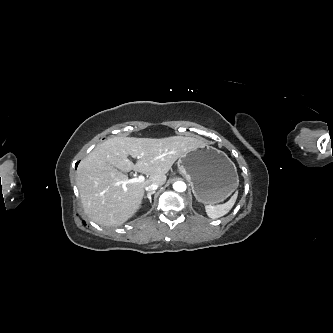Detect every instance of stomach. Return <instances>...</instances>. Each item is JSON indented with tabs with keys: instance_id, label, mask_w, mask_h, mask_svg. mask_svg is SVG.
<instances>
[{
	"instance_id": "0dacf381",
	"label": "stomach",
	"mask_w": 333,
	"mask_h": 333,
	"mask_svg": "<svg viewBox=\"0 0 333 333\" xmlns=\"http://www.w3.org/2000/svg\"><path fill=\"white\" fill-rule=\"evenodd\" d=\"M179 172L189 181L198 202L215 205L227 199L238 186L235 164L221 150L203 145L177 161Z\"/></svg>"
}]
</instances>
